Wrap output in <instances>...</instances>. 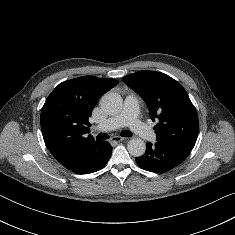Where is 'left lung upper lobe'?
Returning a JSON list of instances; mask_svg holds the SVG:
<instances>
[{"label": "left lung upper lobe", "instance_id": "1", "mask_svg": "<svg viewBox=\"0 0 235 235\" xmlns=\"http://www.w3.org/2000/svg\"><path fill=\"white\" fill-rule=\"evenodd\" d=\"M146 102L158 142L193 149L199 131L198 115L183 86L170 76L139 71L123 78Z\"/></svg>", "mask_w": 235, "mask_h": 235}]
</instances>
